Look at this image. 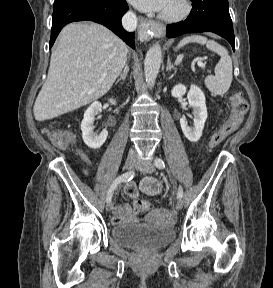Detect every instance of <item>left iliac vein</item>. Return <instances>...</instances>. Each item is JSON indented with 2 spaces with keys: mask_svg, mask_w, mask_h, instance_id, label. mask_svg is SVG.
Listing matches in <instances>:
<instances>
[{
  "mask_svg": "<svg viewBox=\"0 0 273 288\" xmlns=\"http://www.w3.org/2000/svg\"><path fill=\"white\" fill-rule=\"evenodd\" d=\"M136 168L146 174H151L155 171L154 165L150 162H138ZM175 206L177 210H181L183 207L182 201L178 199Z\"/></svg>",
  "mask_w": 273,
  "mask_h": 288,
  "instance_id": "left-iliac-vein-1",
  "label": "left iliac vein"
}]
</instances>
